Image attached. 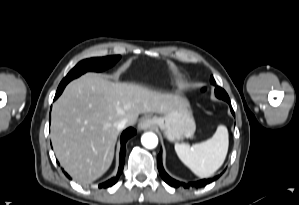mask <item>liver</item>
Here are the masks:
<instances>
[{
	"label": "liver",
	"mask_w": 299,
	"mask_h": 205,
	"mask_svg": "<svg viewBox=\"0 0 299 205\" xmlns=\"http://www.w3.org/2000/svg\"><path fill=\"white\" fill-rule=\"evenodd\" d=\"M181 102L175 94L86 73L71 81L53 105L50 136L55 155L73 179L91 183L112 163L117 122L127 119L130 126L139 114H168Z\"/></svg>",
	"instance_id": "liver-1"
}]
</instances>
